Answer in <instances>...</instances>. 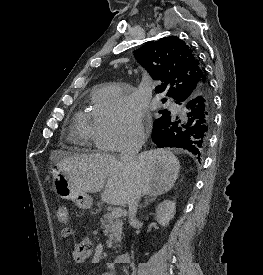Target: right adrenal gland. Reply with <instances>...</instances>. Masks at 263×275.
<instances>
[{
  "instance_id": "right-adrenal-gland-1",
  "label": "right adrenal gland",
  "mask_w": 263,
  "mask_h": 275,
  "mask_svg": "<svg viewBox=\"0 0 263 275\" xmlns=\"http://www.w3.org/2000/svg\"><path fill=\"white\" fill-rule=\"evenodd\" d=\"M156 198H157V196H154L152 198H146L145 203H144V207H146L150 202H153Z\"/></svg>"
}]
</instances>
